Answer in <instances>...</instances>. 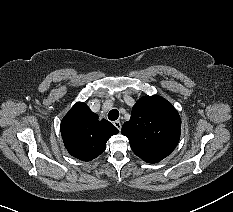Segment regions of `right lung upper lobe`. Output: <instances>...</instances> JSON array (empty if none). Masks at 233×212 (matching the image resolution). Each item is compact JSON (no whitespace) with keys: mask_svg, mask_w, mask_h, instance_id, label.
Wrapping results in <instances>:
<instances>
[{"mask_svg":"<svg viewBox=\"0 0 233 212\" xmlns=\"http://www.w3.org/2000/svg\"><path fill=\"white\" fill-rule=\"evenodd\" d=\"M118 132L109 121H98V115L82 102L76 103L61 121V135L67 151L82 161L98 157L108 139Z\"/></svg>","mask_w":233,"mask_h":212,"instance_id":"1","label":"right lung upper lobe"}]
</instances>
